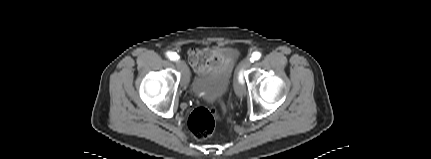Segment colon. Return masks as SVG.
<instances>
[{"label":"colon","mask_w":431,"mask_h":159,"mask_svg":"<svg viewBox=\"0 0 431 159\" xmlns=\"http://www.w3.org/2000/svg\"><path fill=\"white\" fill-rule=\"evenodd\" d=\"M223 99V97H220L222 114L217 111L215 107L210 108V110L205 107H198L191 112L187 124L193 136L198 139H206L213 134L215 128V116H218L219 121H222L226 116L224 113L226 111V107L223 103Z\"/></svg>","instance_id":"1"}]
</instances>
